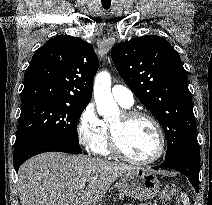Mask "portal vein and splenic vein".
<instances>
[{
    "mask_svg": "<svg viewBox=\"0 0 212 205\" xmlns=\"http://www.w3.org/2000/svg\"><path fill=\"white\" fill-rule=\"evenodd\" d=\"M84 187H85V183L81 184L80 185V191H83L84 190Z\"/></svg>",
    "mask_w": 212,
    "mask_h": 205,
    "instance_id": "portal-vein-and-splenic-vein-1",
    "label": "portal vein and splenic vein"
}]
</instances>
